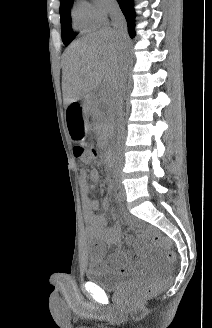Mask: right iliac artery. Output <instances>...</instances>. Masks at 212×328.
<instances>
[{"label":"right iliac artery","instance_id":"right-iliac-artery-1","mask_svg":"<svg viewBox=\"0 0 212 328\" xmlns=\"http://www.w3.org/2000/svg\"><path fill=\"white\" fill-rule=\"evenodd\" d=\"M122 197H121V195H119V199H121Z\"/></svg>","mask_w":212,"mask_h":328}]
</instances>
